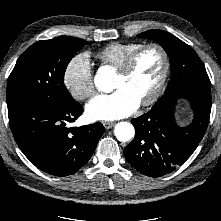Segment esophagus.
I'll return each mask as SVG.
<instances>
[{
  "instance_id": "34e87169",
  "label": "esophagus",
  "mask_w": 221,
  "mask_h": 221,
  "mask_svg": "<svg viewBox=\"0 0 221 221\" xmlns=\"http://www.w3.org/2000/svg\"><path fill=\"white\" fill-rule=\"evenodd\" d=\"M103 125L106 129H110L114 126V122L105 121L103 122Z\"/></svg>"
}]
</instances>
